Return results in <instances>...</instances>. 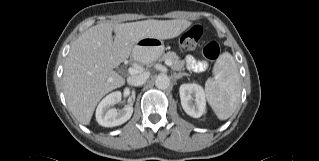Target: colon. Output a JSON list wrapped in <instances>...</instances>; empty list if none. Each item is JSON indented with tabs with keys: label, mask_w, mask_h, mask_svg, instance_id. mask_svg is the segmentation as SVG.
Masks as SVG:
<instances>
[{
	"label": "colon",
	"mask_w": 319,
	"mask_h": 161,
	"mask_svg": "<svg viewBox=\"0 0 319 161\" xmlns=\"http://www.w3.org/2000/svg\"><path fill=\"white\" fill-rule=\"evenodd\" d=\"M203 29L201 26H193L185 31L180 37V45L184 49H193L198 44ZM202 54L207 60L214 62L220 56V44L216 40H209L202 49Z\"/></svg>",
	"instance_id": "1"
}]
</instances>
